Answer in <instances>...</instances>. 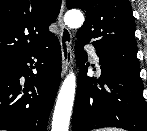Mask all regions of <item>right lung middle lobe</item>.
I'll return each mask as SVG.
<instances>
[{"mask_svg":"<svg viewBox=\"0 0 147 131\" xmlns=\"http://www.w3.org/2000/svg\"><path fill=\"white\" fill-rule=\"evenodd\" d=\"M3 62H5V61H0V64L3 63Z\"/></svg>","mask_w":147,"mask_h":131,"instance_id":"dd1d6c3e","label":"right lung middle lobe"}]
</instances>
